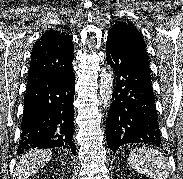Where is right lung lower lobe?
<instances>
[{"label": "right lung lower lobe", "mask_w": 183, "mask_h": 179, "mask_svg": "<svg viewBox=\"0 0 183 179\" xmlns=\"http://www.w3.org/2000/svg\"><path fill=\"white\" fill-rule=\"evenodd\" d=\"M74 93V73L59 77L43 75L28 81L19 153L31 148L64 147L75 154Z\"/></svg>", "instance_id": "right-lung-lower-lobe-1"}]
</instances>
